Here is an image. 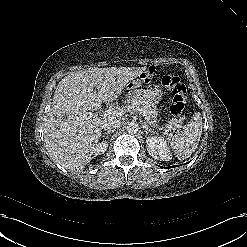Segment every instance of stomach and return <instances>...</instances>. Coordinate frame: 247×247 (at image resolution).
Listing matches in <instances>:
<instances>
[{
  "instance_id": "0dacf381",
  "label": "stomach",
  "mask_w": 247,
  "mask_h": 247,
  "mask_svg": "<svg viewBox=\"0 0 247 247\" xmlns=\"http://www.w3.org/2000/svg\"><path fill=\"white\" fill-rule=\"evenodd\" d=\"M141 85V80L136 79V80H131L127 84V89L129 90L128 96L133 97L135 95H139L146 99L150 103H158L163 95V91L160 88V86L155 85L153 88H149L147 90H137Z\"/></svg>"
}]
</instances>
